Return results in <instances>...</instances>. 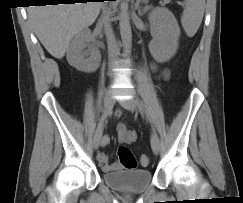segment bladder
I'll return each instance as SVG.
<instances>
[{
  "label": "bladder",
  "mask_w": 243,
  "mask_h": 203,
  "mask_svg": "<svg viewBox=\"0 0 243 203\" xmlns=\"http://www.w3.org/2000/svg\"><path fill=\"white\" fill-rule=\"evenodd\" d=\"M102 179L106 185L120 193H139L152 181L149 169H131L105 172Z\"/></svg>",
  "instance_id": "obj_1"
}]
</instances>
